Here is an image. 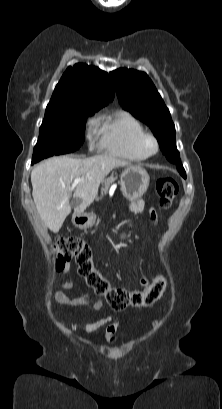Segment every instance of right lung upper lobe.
Wrapping results in <instances>:
<instances>
[{
    "mask_svg": "<svg viewBox=\"0 0 222 409\" xmlns=\"http://www.w3.org/2000/svg\"><path fill=\"white\" fill-rule=\"evenodd\" d=\"M113 98L114 89L108 74L95 66L78 63L67 68L46 110L71 107L100 109Z\"/></svg>",
    "mask_w": 222,
    "mask_h": 409,
    "instance_id": "1",
    "label": "right lung upper lobe"
}]
</instances>
